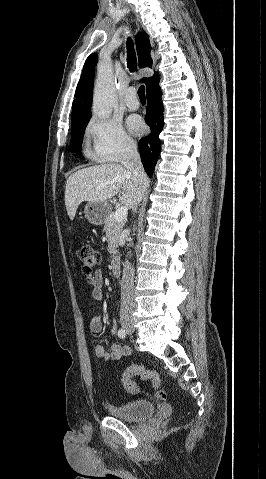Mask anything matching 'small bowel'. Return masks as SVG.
Instances as JSON below:
<instances>
[{
    "instance_id": "small-bowel-1",
    "label": "small bowel",
    "mask_w": 266,
    "mask_h": 479,
    "mask_svg": "<svg viewBox=\"0 0 266 479\" xmlns=\"http://www.w3.org/2000/svg\"><path fill=\"white\" fill-rule=\"evenodd\" d=\"M92 284V297L95 300H101L103 298V275L101 271H96L90 278ZM89 328L92 333L99 334L103 330V317L102 313L98 312L92 316L89 322ZM112 334H116V327L112 328ZM131 349L128 346H122L117 343H113L110 350H106L101 344H97L95 347V355L97 358L104 361H117L122 357L129 356Z\"/></svg>"
}]
</instances>
